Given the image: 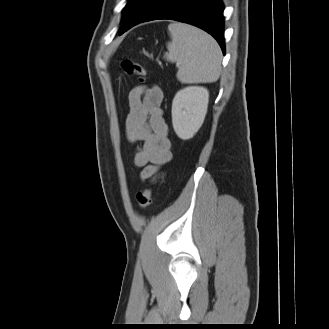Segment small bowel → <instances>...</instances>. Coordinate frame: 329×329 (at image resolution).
Returning a JSON list of instances; mask_svg holds the SVG:
<instances>
[{
  "label": "small bowel",
  "instance_id": "obj_1",
  "mask_svg": "<svg viewBox=\"0 0 329 329\" xmlns=\"http://www.w3.org/2000/svg\"><path fill=\"white\" fill-rule=\"evenodd\" d=\"M162 89L157 86H136L128 95L129 112L125 121L126 136L131 143H140L133 164L140 168L141 178H155L158 169L172 161V144L168 137L161 104Z\"/></svg>",
  "mask_w": 329,
  "mask_h": 329
}]
</instances>
